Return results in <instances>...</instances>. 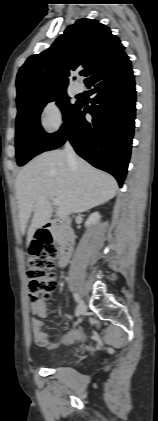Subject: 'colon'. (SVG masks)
<instances>
[{
	"label": "colon",
	"mask_w": 158,
	"mask_h": 421,
	"mask_svg": "<svg viewBox=\"0 0 158 421\" xmlns=\"http://www.w3.org/2000/svg\"><path fill=\"white\" fill-rule=\"evenodd\" d=\"M57 256L58 249L53 244L51 236L39 232L27 257L29 299L32 303L50 299L57 284L56 277L52 273L54 259Z\"/></svg>",
	"instance_id": "5ec220e1"
}]
</instances>
